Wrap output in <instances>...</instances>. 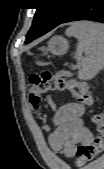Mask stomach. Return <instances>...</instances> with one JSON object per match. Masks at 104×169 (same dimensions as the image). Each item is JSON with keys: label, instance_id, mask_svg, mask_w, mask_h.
<instances>
[{"label": "stomach", "instance_id": "stomach-1", "mask_svg": "<svg viewBox=\"0 0 104 169\" xmlns=\"http://www.w3.org/2000/svg\"><path fill=\"white\" fill-rule=\"evenodd\" d=\"M69 49L68 41L62 36H54L48 41V46L44 50L54 55H62Z\"/></svg>", "mask_w": 104, "mask_h": 169}]
</instances>
